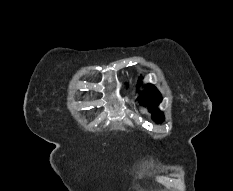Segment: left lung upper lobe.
<instances>
[{
    "mask_svg": "<svg viewBox=\"0 0 233 191\" xmlns=\"http://www.w3.org/2000/svg\"><path fill=\"white\" fill-rule=\"evenodd\" d=\"M141 83L139 79L138 84ZM162 97L159 91L151 84H147L145 89L141 92L138 97V101L142 103L143 106H148L149 111L153 113V119L156 122H162L164 120L163 113L159 112L156 108L161 102Z\"/></svg>",
    "mask_w": 233,
    "mask_h": 191,
    "instance_id": "1",
    "label": "left lung upper lobe"
}]
</instances>
